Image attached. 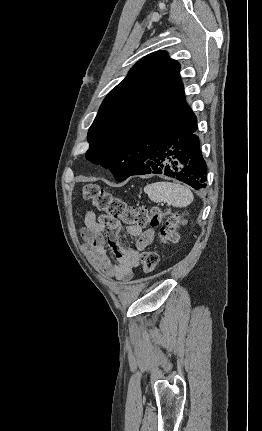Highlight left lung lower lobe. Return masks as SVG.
Listing matches in <instances>:
<instances>
[{"instance_id":"1","label":"left lung lower lobe","mask_w":262,"mask_h":431,"mask_svg":"<svg viewBox=\"0 0 262 431\" xmlns=\"http://www.w3.org/2000/svg\"><path fill=\"white\" fill-rule=\"evenodd\" d=\"M196 130L197 121L171 134L151 152L136 159L131 175L164 174L195 190L205 188L207 168Z\"/></svg>"}]
</instances>
